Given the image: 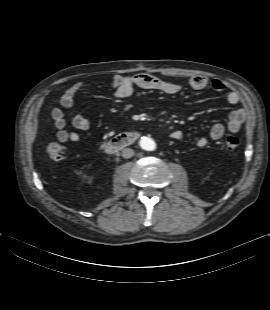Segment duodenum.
Instances as JSON below:
<instances>
[{
  "instance_id": "duodenum-1",
  "label": "duodenum",
  "mask_w": 270,
  "mask_h": 310,
  "mask_svg": "<svg viewBox=\"0 0 270 310\" xmlns=\"http://www.w3.org/2000/svg\"><path fill=\"white\" fill-rule=\"evenodd\" d=\"M139 137L136 132H128L116 135L115 137L108 140L105 145V149L109 153H116L130 145H132Z\"/></svg>"
}]
</instances>
